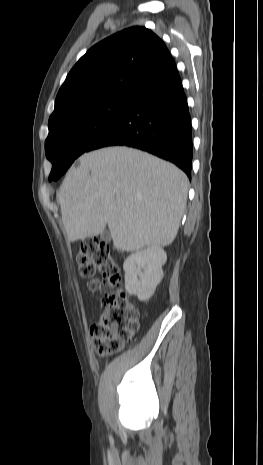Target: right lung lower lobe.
Masks as SVG:
<instances>
[{
  "mask_svg": "<svg viewBox=\"0 0 263 465\" xmlns=\"http://www.w3.org/2000/svg\"><path fill=\"white\" fill-rule=\"evenodd\" d=\"M113 145L135 147L171 161L191 179V117L177 70L139 91L127 112L88 151Z\"/></svg>",
  "mask_w": 263,
  "mask_h": 465,
  "instance_id": "98d812e1",
  "label": "right lung lower lobe"
}]
</instances>
